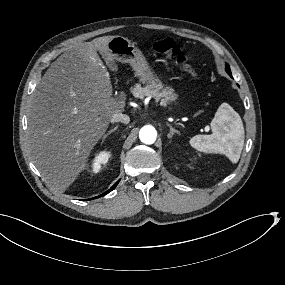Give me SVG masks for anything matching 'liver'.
<instances>
[{"label": "liver", "instance_id": "obj_1", "mask_svg": "<svg viewBox=\"0 0 285 285\" xmlns=\"http://www.w3.org/2000/svg\"><path fill=\"white\" fill-rule=\"evenodd\" d=\"M112 37L73 46L37 84L28 115L27 147L54 190L64 192L75 181L113 114L124 111L125 97H112L110 75L97 53L117 70L107 47Z\"/></svg>", "mask_w": 285, "mask_h": 285}]
</instances>
